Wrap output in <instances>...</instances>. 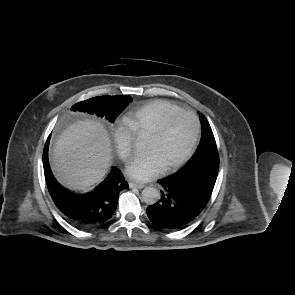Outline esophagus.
Instances as JSON below:
<instances>
[{
    "instance_id": "obj_1",
    "label": "esophagus",
    "mask_w": 295,
    "mask_h": 295,
    "mask_svg": "<svg viewBox=\"0 0 295 295\" xmlns=\"http://www.w3.org/2000/svg\"><path fill=\"white\" fill-rule=\"evenodd\" d=\"M129 186L130 188H138V189H142L145 187L143 183H139V182H130Z\"/></svg>"
}]
</instances>
